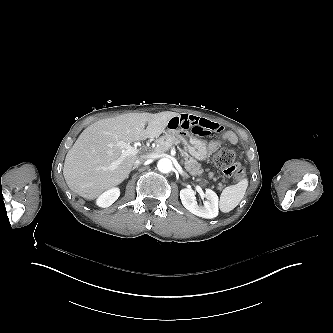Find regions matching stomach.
Returning a JSON list of instances; mask_svg holds the SVG:
<instances>
[{
    "label": "stomach",
    "instance_id": "obj_1",
    "mask_svg": "<svg viewBox=\"0 0 333 333\" xmlns=\"http://www.w3.org/2000/svg\"><path fill=\"white\" fill-rule=\"evenodd\" d=\"M178 131L179 129L176 127L173 129L167 128L166 133L178 134ZM185 136L189 139L188 143H189L190 153L194 158H196L199 161H204L208 159L211 155H213L214 151L209 149L208 141L206 139L194 137L187 132Z\"/></svg>",
    "mask_w": 333,
    "mask_h": 333
}]
</instances>
